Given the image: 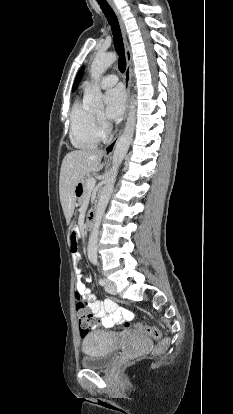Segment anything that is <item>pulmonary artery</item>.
<instances>
[{"mask_svg":"<svg viewBox=\"0 0 233 414\" xmlns=\"http://www.w3.org/2000/svg\"><path fill=\"white\" fill-rule=\"evenodd\" d=\"M118 81V78L116 75H106L104 77L101 78V80L99 81V85L102 88H110L112 86H114ZM91 86V82L86 81L84 83V88H88Z\"/></svg>","mask_w":233,"mask_h":414,"instance_id":"obj_1","label":"pulmonary artery"}]
</instances>
